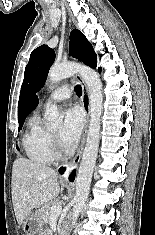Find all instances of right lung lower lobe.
Segmentation results:
<instances>
[{
  "label": "right lung lower lobe",
  "instance_id": "obj_1",
  "mask_svg": "<svg viewBox=\"0 0 155 235\" xmlns=\"http://www.w3.org/2000/svg\"><path fill=\"white\" fill-rule=\"evenodd\" d=\"M64 170H65V169L62 168V169L59 170V172H60L61 174H63ZM74 177H75V170L71 173V175H70V177H69L70 181H73V180H74Z\"/></svg>",
  "mask_w": 155,
  "mask_h": 235
}]
</instances>
